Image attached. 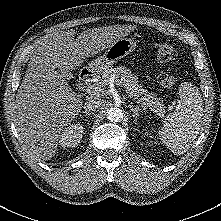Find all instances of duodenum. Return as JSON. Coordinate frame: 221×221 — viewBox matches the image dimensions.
I'll return each instance as SVG.
<instances>
[{"label": "duodenum", "mask_w": 221, "mask_h": 221, "mask_svg": "<svg viewBox=\"0 0 221 221\" xmlns=\"http://www.w3.org/2000/svg\"><path fill=\"white\" fill-rule=\"evenodd\" d=\"M91 76V73L88 69H83L81 70L80 72V81L81 82H84L86 81L87 79H89V77Z\"/></svg>", "instance_id": "obj_1"}]
</instances>
